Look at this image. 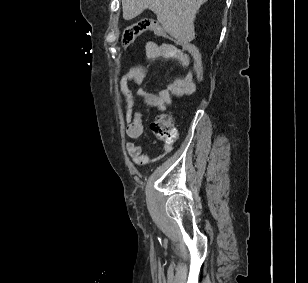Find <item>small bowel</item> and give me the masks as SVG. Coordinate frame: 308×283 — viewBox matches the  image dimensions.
Instances as JSON below:
<instances>
[{"mask_svg":"<svg viewBox=\"0 0 308 283\" xmlns=\"http://www.w3.org/2000/svg\"><path fill=\"white\" fill-rule=\"evenodd\" d=\"M145 51L149 58L162 57L174 60L186 68L187 72L183 77L166 84L159 93H151L142 88H138L135 93L131 90L130 83L140 86L146 78V69L142 66L130 68L121 77L119 86L125 97L126 134L130 139H139L144 131L142 115L135 109L138 98L142 99L148 106L158 111H163L172 103V97H179L190 93L193 85L194 78L191 70V59L185 51L170 44H157L154 42H148L145 46ZM126 150L136 165L146 166L161 160L169 154L172 151V141H165L160 149L153 154L145 153L143 146L134 142H128Z\"/></svg>","mask_w":308,"mask_h":283,"instance_id":"c3829d8e","label":"small bowel"}]
</instances>
